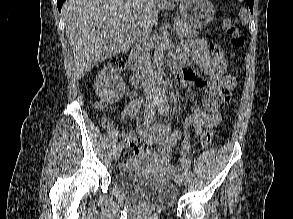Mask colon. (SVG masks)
I'll return each mask as SVG.
<instances>
[{"label":"colon","mask_w":293,"mask_h":219,"mask_svg":"<svg viewBox=\"0 0 293 219\" xmlns=\"http://www.w3.org/2000/svg\"><path fill=\"white\" fill-rule=\"evenodd\" d=\"M225 32L228 36L230 44L235 48H240L245 44V39L240 33L237 25L234 21L230 19H226L224 22ZM212 56L214 61L218 65V67L223 70L224 72L227 70V61L224 56L223 49L218 45L211 46ZM112 65L117 68L118 70L125 69V61L123 59H116L112 62ZM103 125L107 126L109 123L106 120L102 121ZM213 138V131L211 128H207L201 135L200 144L202 148H206L212 141ZM176 143L169 139L163 142L158 149V153L163 158H168L171 155V148Z\"/></svg>","instance_id":"1"}]
</instances>
